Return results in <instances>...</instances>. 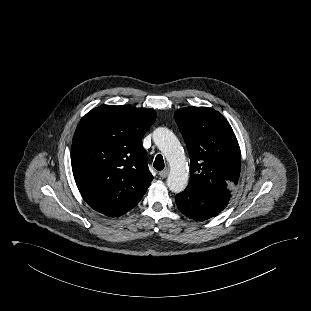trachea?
Returning <instances> with one entry per match:
<instances>
[{
    "mask_svg": "<svg viewBox=\"0 0 311 311\" xmlns=\"http://www.w3.org/2000/svg\"><path fill=\"white\" fill-rule=\"evenodd\" d=\"M153 166L156 170L161 171L165 167L164 160L161 154H158L154 160Z\"/></svg>",
    "mask_w": 311,
    "mask_h": 311,
    "instance_id": "3493384b",
    "label": "trachea"
}]
</instances>
